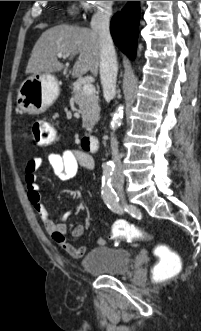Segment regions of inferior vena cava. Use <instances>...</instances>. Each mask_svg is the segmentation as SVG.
<instances>
[{
  "instance_id": "obj_1",
  "label": "inferior vena cava",
  "mask_w": 201,
  "mask_h": 331,
  "mask_svg": "<svg viewBox=\"0 0 201 331\" xmlns=\"http://www.w3.org/2000/svg\"><path fill=\"white\" fill-rule=\"evenodd\" d=\"M111 10L99 8L91 20L92 31L98 35L100 43V78L103 94L106 99H113L116 94V79L118 72L117 56L110 35L109 23ZM111 155L114 162L113 175L123 180L122 164L118 151V141L111 133Z\"/></svg>"
}]
</instances>
